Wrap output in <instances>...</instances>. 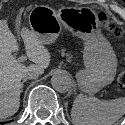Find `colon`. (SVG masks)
Segmentation results:
<instances>
[{"label":"colon","mask_w":125,"mask_h":125,"mask_svg":"<svg viewBox=\"0 0 125 125\" xmlns=\"http://www.w3.org/2000/svg\"><path fill=\"white\" fill-rule=\"evenodd\" d=\"M97 20L104 29H106L116 37H122L125 33L123 28L116 25L105 12H99L97 14ZM118 81L121 86L125 87V69L120 72Z\"/></svg>","instance_id":"obj_1"}]
</instances>
